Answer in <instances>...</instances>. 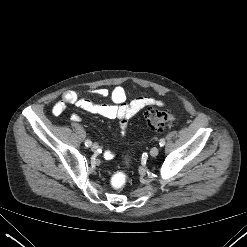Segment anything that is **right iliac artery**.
<instances>
[{"label":"right iliac artery","mask_w":247,"mask_h":247,"mask_svg":"<svg viewBox=\"0 0 247 247\" xmlns=\"http://www.w3.org/2000/svg\"><path fill=\"white\" fill-rule=\"evenodd\" d=\"M85 145L87 146V147H90L91 145H92V142L90 141V140H86L85 141Z\"/></svg>","instance_id":"1"}]
</instances>
